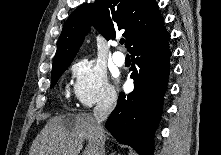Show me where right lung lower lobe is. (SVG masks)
<instances>
[{"label":"right lung lower lobe","mask_w":221,"mask_h":155,"mask_svg":"<svg viewBox=\"0 0 221 155\" xmlns=\"http://www.w3.org/2000/svg\"><path fill=\"white\" fill-rule=\"evenodd\" d=\"M163 24L142 35L129 50L133 61L130 77L135 88L130 94L120 93L116 108L106 122L113 137L139 155H153L154 131L167 87L170 35Z\"/></svg>","instance_id":"98d812e1"}]
</instances>
